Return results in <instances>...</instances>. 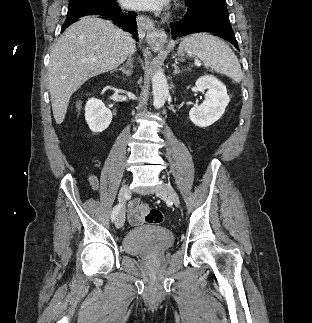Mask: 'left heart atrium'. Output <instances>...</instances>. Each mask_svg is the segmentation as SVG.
<instances>
[{"label":"left heart atrium","instance_id":"39dd6f15","mask_svg":"<svg viewBox=\"0 0 312 323\" xmlns=\"http://www.w3.org/2000/svg\"><path fill=\"white\" fill-rule=\"evenodd\" d=\"M125 3L137 12H166L171 7L169 0H125Z\"/></svg>","mask_w":312,"mask_h":323}]
</instances>
